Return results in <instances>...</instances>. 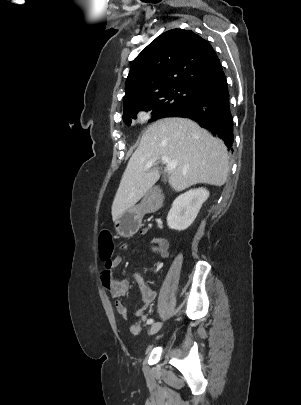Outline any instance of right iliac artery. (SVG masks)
Wrapping results in <instances>:
<instances>
[{
    "instance_id": "right-iliac-artery-1",
    "label": "right iliac artery",
    "mask_w": 301,
    "mask_h": 405,
    "mask_svg": "<svg viewBox=\"0 0 301 405\" xmlns=\"http://www.w3.org/2000/svg\"><path fill=\"white\" fill-rule=\"evenodd\" d=\"M153 319H149L148 321H147V324H152L153 323Z\"/></svg>"
}]
</instances>
